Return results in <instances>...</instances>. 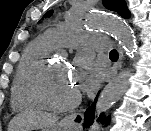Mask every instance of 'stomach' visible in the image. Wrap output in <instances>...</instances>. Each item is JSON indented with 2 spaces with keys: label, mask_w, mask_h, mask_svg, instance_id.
Here are the masks:
<instances>
[{
  "label": "stomach",
  "mask_w": 151,
  "mask_h": 131,
  "mask_svg": "<svg viewBox=\"0 0 151 131\" xmlns=\"http://www.w3.org/2000/svg\"><path fill=\"white\" fill-rule=\"evenodd\" d=\"M75 129V125L68 123L67 121H61L42 131H75Z\"/></svg>",
  "instance_id": "1"
}]
</instances>
